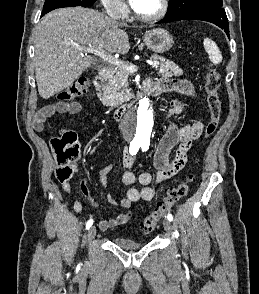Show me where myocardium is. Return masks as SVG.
<instances>
[{"mask_svg": "<svg viewBox=\"0 0 259 294\" xmlns=\"http://www.w3.org/2000/svg\"><path fill=\"white\" fill-rule=\"evenodd\" d=\"M160 3H161L160 9L155 14L145 16V15L139 14L136 10H134L135 17L142 22H155V21L162 19L167 14V12L169 10L170 1L169 0H160Z\"/></svg>", "mask_w": 259, "mask_h": 294, "instance_id": "myocardium-1", "label": "myocardium"}]
</instances>
